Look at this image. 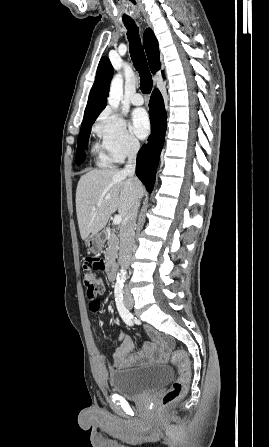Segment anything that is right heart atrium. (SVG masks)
<instances>
[{
    "instance_id": "obj_1",
    "label": "right heart atrium",
    "mask_w": 269,
    "mask_h": 447,
    "mask_svg": "<svg viewBox=\"0 0 269 447\" xmlns=\"http://www.w3.org/2000/svg\"><path fill=\"white\" fill-rule=\"evenodd\" d=\"M94 131L101 139L103 148L116 161L133 155L139 148V141L127 129L124 119L111 108L99 115Z\"/></svg>"
}]
</instances>
